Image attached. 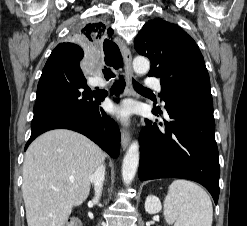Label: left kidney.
I'll list each match as a JSON object with an SVG mask.
<instances>
[{
  "label": "left kidney",
  "instance_id": "5707ae66",
  "mask_svg": "<svg viewBox=\"0 0 247 226\" xmlns=\"http://www.w3.org/2000/svg\"><path fill=\"white\" fill-rule=\"evenodd\" d=\"M162 209L161 201L154 195H149L145 201V210L149 214H156Z\"/></svg>",
  "mask_w": 247,
  "mask_h": 226
}]
</instances>
